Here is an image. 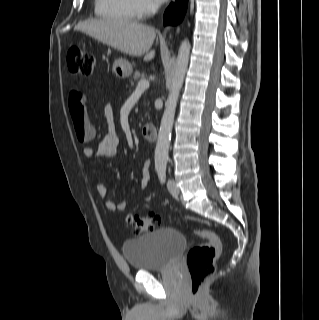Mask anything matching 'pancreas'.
Returning a JSON list of instances; mask_svg holds the SVG:
<instances>
[{
    "label": "pancreas",
    "instance_id": "cf45deb5",
    "mask_svg": "<svg viewBox=\"0 0 319 320\" xmlns=\"http://www.w3.org/2000/svg\"><path fill=\"white\" fill-rule=\"evenodd\" d=\"M132 78L134 79V81H137L139 78H144V74L140 73L139 71H135ZM131 83L133 82L131 81Z\"/></svg>",
    "mask_w": 319,
    "mask_h": 320
}]
</instances>
